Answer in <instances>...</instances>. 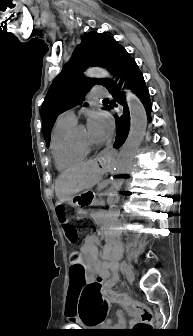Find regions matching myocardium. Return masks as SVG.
<instances>
[{"label": "myocardium", "instance_id": "myocardium-1", "mask_svg": "<svg viewBox=\"0 0 193 336\" xmlns=\"http://www.w3.org/2000/svg\"><path fill=\"white\" fill-rule=\"evenodd\" d=\"M76 142L83 148H85L86 150L90 151L96 148V145L93 143H88V142H82V141H78L76 140Z\"/></svg>", "mask_w": 193, "mask_h": 336}]
</instances>
